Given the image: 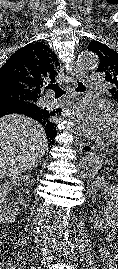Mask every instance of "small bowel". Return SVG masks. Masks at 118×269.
Returning a JSON list of instances; mask_svg holds the SVG:
<instances>
[{
  "label": "small bowel",
  "instance_id": "obj_1",
  "mask_svg": "<svg viewBox=\"0 0 118 269\" xmlns=\"http://www.w3.org/2000/svg\"><path fill=\"white\" fill-rule=\"evenodd\" d=\"M118 222H116L114 230L110 231L107 235V240L110 243V246L113 249H116L118 251Z\"/></svg>",
  "mask_w": 118,
  "mask_h": 269
}]
</instances>
